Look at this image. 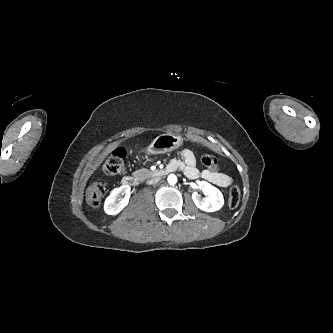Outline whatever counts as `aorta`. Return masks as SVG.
Instances as JSON below:
<instances>
[{"label": "aorta", "instance_id": "aorta-1", "mask_svg": "<svg viewBox=\"0 0 333 333\" xmlns=\"http://www.w3.org/2000/svg\"><path fill=\"white\" fill-rule=\"evenodd\" d=\"M167 180L170 185H175L177 183V176L175 174H170Z\"/></svg>", "mask_w": 333, "mask_h": 333}]
</instances>
